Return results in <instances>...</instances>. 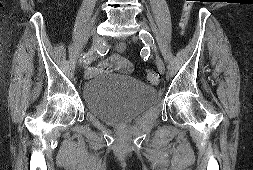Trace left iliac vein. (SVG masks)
Listing matches in <instances>:
<instances>
[{
	"label": "left iliac vein",
	"instance_id": "1",
	"mask_svg": "<svg viewBox=\"0 0 253 170\" xmlns=\"http://www.w3.org/2000/svg\"><path fill=\"white\" fill-rule=\"evenodd\" d=\"M140 26L143 30H146V31L150 30L149 26L143 21L140 22ZM155 62H156L159 72L163 74L165 71V65H164L163 60L158 55H156Z\"/></svg>",
	"mask_w": 253,
	"mask_h": 170
}]
</instances>
